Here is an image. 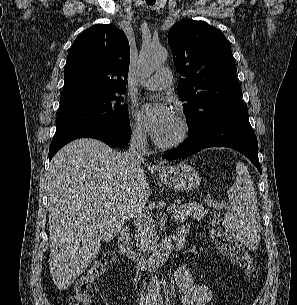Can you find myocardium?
<instances>
[{
    "label": "myocardium",
    "mask_w": 297,
    "mask_h": 305,
    "mask_svg": "<svg viewBox=\"0 0 297 305\" xmlns=\"http://www.w3.org/2000/svg\"><path fill=\"white\" fill-rule=\"evenodd\" d=\"M178 123V131L177 133L169 140H160L156 139V144L163 149H171L174 147L179 146L182 144L188 137L190 132V124L187 118L182 115L178 114L176 117Z\"/></svg>",
    "instance_id": "1"
}]
</instances>
